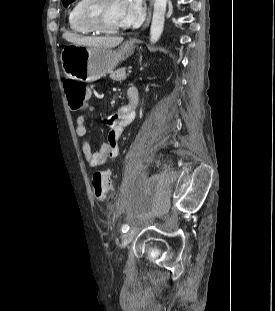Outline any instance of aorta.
<instances>
[{
  "label": "aorta",
  "mask_w": 275,
  "mask_h": 311,
  "mask_svg": "<svg viewBox=\"0 0 275 311\" xmlns=\"http://www.w3.org/2000/svg\"><path fill=\"white\" fill-rule=\"evenodd\" d=\"M167 0H155L153 18L150 28V42L156 43L164 28Z\"/></svg>",
  "instance_id": "1"
}]
</instances>
